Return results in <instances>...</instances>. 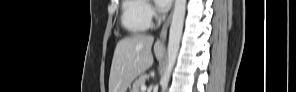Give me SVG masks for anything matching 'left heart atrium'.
I'll use <instances>...</instances> for the list:
<instances>
[{
    "label": "left heart atrium",
    "instance_id": "39dd6f15",
    "mask_svg": "<svg viewBox=\"0 0 296 92\" xmlns=\"http://www.w3.org/2000/svg\"><path fill=\"white\" fill-rule=\"evenodd\" d=\"M155 2H156V5H157L158 9L160 11H164V10H166L168 8L171 1L170 0H164V1L157 0Z\"/></svg>",
    "mask_w": 296,
    "mask_h": 92
}]
</instances>
